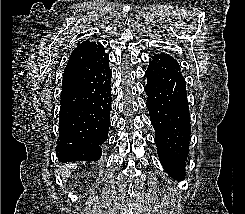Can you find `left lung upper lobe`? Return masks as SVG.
<instances>
[{
    "label": "left lung upper lobe",
    "mask_w": 245,
    "mask_h": 214,
    "mask_svg": "<svg viewBox=\"0 0 245 214\" xmlns=\"http://www.w3.org/2000/svg\"><path fill=\"white\" fill-rule=\"evenodd\" d=\"M150 64H158L164 68L180 71L178 62L171 56L165 54H156L150 59Z\"/></svg>",
    "instance_id": "obj_1"
}]
</instances>
